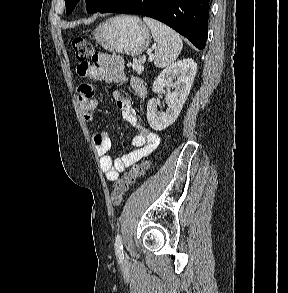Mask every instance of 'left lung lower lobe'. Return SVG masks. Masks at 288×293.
I'll return each instance as SVG.
<instances>
[{"label": "left lung lower lobe", "instance_id": "0a47b994", "mask_svg": "<svg viewBox=\"0 0 288 293\" xmlns=\"http://www.w3.org/2000/svg\"><path fill=\"white\" fill-rule=\"evenodd\" d=\"M210 0H118L100 13H131L159 20L203 49L208 36Z\"/></svg>", "mask_w": 288, "mask_h": 293}]
</instances>
